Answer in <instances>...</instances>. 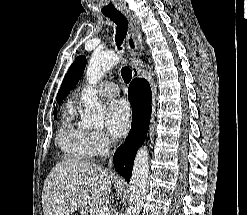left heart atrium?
Segmentation results:
<instances>
[{
	"instance_id": "1",
	"label": "left heart atrium",
	"mask_w": 247,
	"mask_h": 215,
	"mask_svg": "<svg viewBox=\"0 0 247 215\" xmlns=\"http://www.w3.org/2000/svg\"><path fill=\"white\" fill-rule=\"evenodd\" d=\"M105 124L114 138L125 135L130 126V107L125 100H113L105 113Z\"/></svg>"
}]
</instances>
